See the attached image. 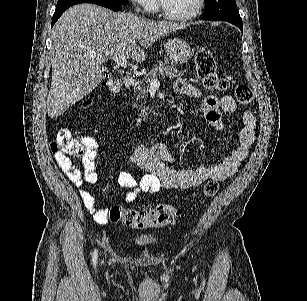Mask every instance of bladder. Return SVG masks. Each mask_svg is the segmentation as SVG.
<instances>
[{
  "label": "bladder",
  "mask_w": 307,
  "mask_h": 301,
  "mask_svg": "<svg viewBox=\"0 0 307 301\" xmlns=\"http://www.w3.org/2000/svg\"><path fill=\"white\" fill-rule=\"evenodd\" d=\"M156 241L155 236H142V235H136L135 243L136 244H147L152 243Z\"/></svg>",
  "instance_id": "obj_1"
}]
</instances>
